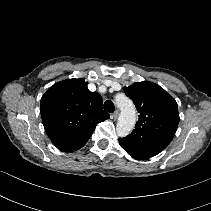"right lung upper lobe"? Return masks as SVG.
Returning <instances> with one entry per match:
<instances>
[{"instance_id": "cb5924a9", "label": "right lung upper lobe", "mask_w": 211, "mask_h": 211, "mask_svg": "<svg viewBox=\"0 0 211 211\" xmlns=\"http://www.w3.org/2000/svg\"><path fill=\"white\" fill-rule=\"evenodd\" d=\"M84 79H67L54 84L41 98V117L52 143L63 152L83 147L95 126L108 119L102 98L90 92Z\"/></svg>"}]
</instances>
